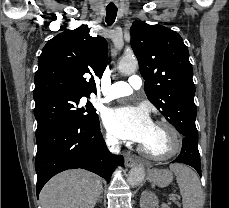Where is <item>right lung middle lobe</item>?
<instances>
[{"mask_svg":"<svg viewBox=\"0 0 229 208\" xmlns=\"http://www.w3.org/2000/svg\"><path fill=\"white\" fill-rule=\"evenodd\" d=\"M82 97L58 94L35 101L34 115L38 123L36 135L62 120H76L88 125L98 123L96 109L89 102L86 107L79 106Z\"/></svg>","mask_w":229,"mask_h":208,"instance_id":"dd1d6c3e","label":"right lung middle lobe"}]
</instances>
